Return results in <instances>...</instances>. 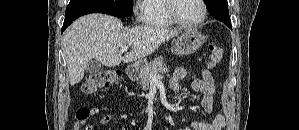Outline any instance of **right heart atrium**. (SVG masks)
Returning <instances> with one entry per match:
<instances>
[{"instance_id":"obj_1","label":"right heart atrium","mask_w":299,"mask_h":130,"mask_svg":"<svg viewBox=\"0 0 299 130\" xmlns=\"http://www.w3.org/2000/svg\"><path fill=\"white\" fill-rule=\"evenodd\" d=\"M144 2H145V1H144ZM140 6H141V5H137V6L134 7V13H135V15L137 16V18H141ZM142 14H143V12H142Z\"/></svg>"}]
</instances>
